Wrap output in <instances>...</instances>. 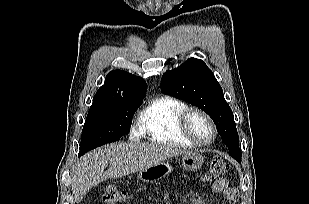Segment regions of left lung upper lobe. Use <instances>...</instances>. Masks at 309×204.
I'll list each match as a JSON object with an SVG mask.
<instances>
[{
    "mask_svg": "<svg viewBox=\"0 0 309 204\" xmlns=\"http://www.w3.org/2000/svg\"><path fill=\"white\" fill-rule=\"evenodd\" d=\"M161 91L205 111L220 130L229 154L237 161L241 160L233 113L221 86L202 60L190 58L179 67L166 71L161 79Z\"/></svg>",
    "mask_w": 309,
    "mask_h": 204,
    "instance_id": "1",
    "label": "left lung upper lobe"
}]
</instances>
